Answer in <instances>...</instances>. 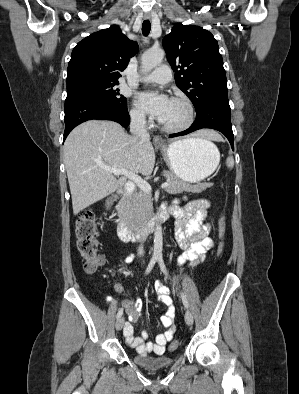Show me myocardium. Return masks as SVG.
<instances>
[{"mask_svg": "<svg viewBox=\"0 0 299 394\" xmlns=\"http://www.w3.org/2000/svg\"><path fill=\"white\" fill-rule=\"evenodd\" d=\"M172 100L180 102L186 107L187 112H188L187 120L183 124L178 125V126H168V125H165L164 123H162L161 120H160L159 121V125H160L162 130H164L166 132H170V133H177V132L185 131L194 122V119H195L194 106H193L192 102L188 98H186L184 96H175V97L172 98Z\"/></svg>", "mask_w": 299, "mask_h": 394, "instance_id": "myocardium-1", "label": "myocardium"}]
</instances>
